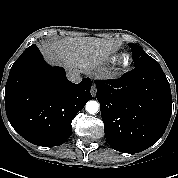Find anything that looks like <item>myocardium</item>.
Returning <instances> with one entry per match:
<instances>
[{
	"label": "myocardium",
	"instance_id": "1",
	"mask_svg": "<svg viewBox=\"0 0 178 178\" xmlns=\"http://www.w3.org/2000/svg\"><path fill=\"white\" fill-rule=\"evenodd\" d=\"M132 65V58L128 54H123L115 68L116 72H124L130 68Z\"/></svg>",
	"mask_w": 178,
	"mask_h": 178
}]
</instances>
